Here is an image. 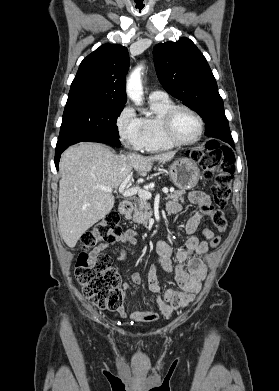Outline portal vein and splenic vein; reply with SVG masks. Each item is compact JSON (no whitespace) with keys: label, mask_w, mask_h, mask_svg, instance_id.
<instances>
[{"label":"portal vein and splenic vein","mask_w":279,"mask_h":391,"mask_svg":"<svg viewBox=\"0 0 279 391\" xmlns=\"http://www.w3.org/2000/svg\"><path fill=\"white\" fill-rule=\"evenodd\" d=\"M131 175H128L126 179L120 184L119 186V193H121L124 197H130L135 194H138V196L144 200H148L152 197V194L144 189H141L139 187H131L127 188V184L129 183L131 179ZM99 189L106 191V192H112L113 189L105 186H99ZM163 193L168 194L169 190L168 188H163L162 189Z\"/></svg>","instance_id":"obj_1"}]
</instances>
